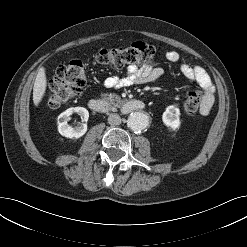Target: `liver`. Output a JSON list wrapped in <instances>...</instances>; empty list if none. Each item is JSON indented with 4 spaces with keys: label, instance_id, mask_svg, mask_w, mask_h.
Masks as SVG:
<instances>
[{
    "label": "liver",
    "instance_id": "liver-1",
    "mask_svg": "<svg viewBox=\"0 0 247 247\" xmlns=\"http://www.w3.org/2000/svg\"><path fill=\"white\" fill-rule=\"evenodd\" d=\"M47 87V78L45 74V68L41 67L37 73L34 87H33V102L35 106H38L42 101Z\"/></svg>",
    "mask_w": 247,
    "mask_h": 247
}]
</instances>
